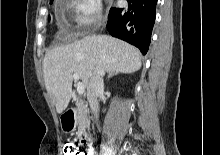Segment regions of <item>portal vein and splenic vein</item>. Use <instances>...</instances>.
Listing matches in <instances>:
<instances>
[{"mask_svg":"<svg viewBox=\"0 0 220 155\" xmlns=\"http://www.w3.org/2000/svg\"><path fill=\"white\" fill-rule=\"evenodd\" d=\"M79 74H77V73H74L73 74V79L75 80V81H79ZM84 91H85V87H84V85H83V83L82 82H77V92H78V94H83L84 93Z\"/></svg>","mask_w":220,"mask_h":155,"instance_id":"1","label":"portal vein and splenic vein"}]
</instances>
